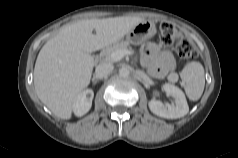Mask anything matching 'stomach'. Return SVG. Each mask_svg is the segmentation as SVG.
Here are the masks:
<instances>
[{
    "label": "stomach",
    "instance_id": "0dacf381",
    "mask_svg": "<svg viewBox=\"0 0 238 158\" xmlns=\"http://www.w3.org/2000/svg\"><path fill=\"white\" fill-rule=\"evenodd\" d=\"M156 33V26L153 21L145 20L133 28H131L126 34V40L129 43L138 45L153 37Z\"/></svg>",
    "mask_w": 238,
    "mask_h": 158
}]
</instances>
